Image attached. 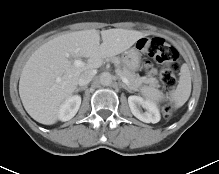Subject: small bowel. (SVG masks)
<instances>
[{"label":"small bowel","instance_id":"obj_1","mask_svg":"<svg viewBox=\"0 0 219 174\" xmlns=\"http://www.w3.org/2000/svg\"><path fill=\"white\" fill-rule=\"evenodd\" d=\"M146 68L150 75H154L156 73V70L150 64H147Z\"/></svg>","mask_w":219,"mask_h":174}]
</instances>
